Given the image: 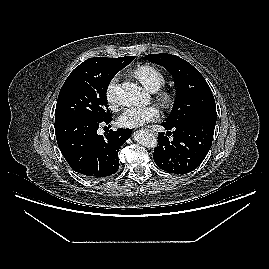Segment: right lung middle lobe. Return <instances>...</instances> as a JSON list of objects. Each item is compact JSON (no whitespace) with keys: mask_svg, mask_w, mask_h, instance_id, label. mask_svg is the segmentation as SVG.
Wrapping results in <instances>:
<instances>
[{"mask_svg":"<svg viewBox=\"0 0 269 269\" xmlns=\"http://www.w3.org/2000/svg\"><path fill=\"white\" fill-rule=\"evenodd\" d=\"M117 72L76 67L60 90L55 120L85 117L103 122L111 119L106 91Z\"/></svg>","mask_w":269,"mask_h":269,"instance_id":"dd1d6c3e","label":"right lung middle lobe"}]
</instances>
